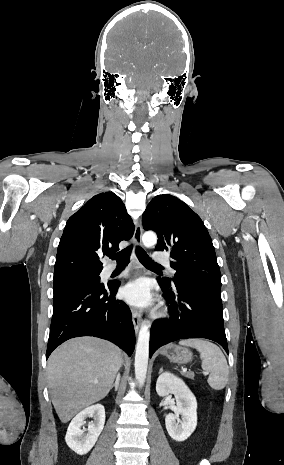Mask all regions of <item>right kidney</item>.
<instances>
[{
    "instance_id": "right-kidney-1",
    "label": "right kidney",
    "mask_w": 284,
    "mask_h": 465,
    "mask_svg": "<svg viewBox=\"0 0 284 465\" xmlns=\"http://www.w3.org/2000/svg\"><path fill=\"white\" fill-rule=\"evenodd\" d=\"M87 417H93L88 429H81ZM105 409L103 405H92L72 419L66 433L65 441L77 455H86L94 447L100 433L104 429ZM88 431V433H85Z\"/></svg>"
}]
</instances>
